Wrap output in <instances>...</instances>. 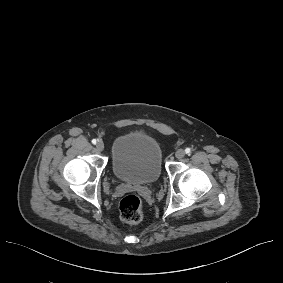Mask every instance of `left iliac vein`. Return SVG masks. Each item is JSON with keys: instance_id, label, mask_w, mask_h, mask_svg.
I'll return each mask as SVG.
<instances>
[{"instance_id": "1", "label": "left iliac vein", "mask_w": 283, "mask_h": 283, "mask_svg": "<svg viewBox=\"0 0 283 283\" xmlns=\"http://www.w3.org/2000/svg\"><path fill=\"white\" fill-rule=\"evenodd\" d=\"M175 156L176 158L178 159H182L184 156H185V151L183 149H178L176 152H175Z\"/></svg>"}]
</instances>
